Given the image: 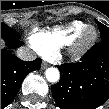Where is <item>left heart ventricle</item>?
<instances>
[{
  "label": "left heart ventricle",
  "instance_id": "b2bd125f",
  "mask_svg": "<svg viewBox=\"0 0 109 109\" xmlns=\"http://www.w3.org/2000/svg\"><path fill=\"white\" fill-rule=\"evenodd\" d=\"M92 36H93V32H90V33L87 35V39H90Z\"/></svg>",
  "mask_w": 109,
  "mask_h": 109
}]
</instances>
